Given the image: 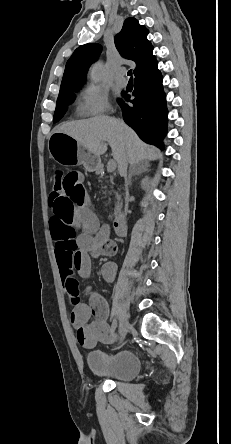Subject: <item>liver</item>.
<instances>
[{"label":"liver","instance_id":"1","mask_svg":"<svg viewBox=\"0 0 231 444\" xmlns=\"http://www.w3.org/2000/svg\"><path fill=\"white\" fill-rule=\"evenodd\" d=\"M54 132L71 136L98 157L107 151L108 143L118 169L124 162L132 165L162 156L157 148L142 142L124 122L107 116L65 122L57 126Z\"/></svg>","mask_w":231,"mask_h":444}]
</instances>
